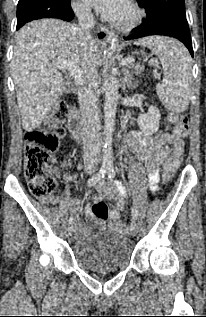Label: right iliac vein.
<instances>
[{
  "label": "right iliac vein",
  "mask_w": 206,
  "mask_h": 317,
  "mask_svg": "<svg viewBox=\"0 0 206 317\" xmlns=\"http://www.w3.org/2000/svg\"><path fill=\"white\" fill-rule=\"evenodd\" d=\"M68 232H69V235L73 236L76 232V226L74 224H71L69 227H68Z\"/></svg>",
  "instance_id": "1"
}]
</instances>
